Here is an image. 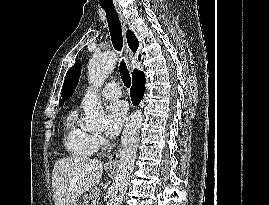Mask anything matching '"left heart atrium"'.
<instances>
[{
  "label": "left heart atrium",
  "instance_id": "39dd6f15",
  "mask_svg": "<svg viewBox=\"0 0 269 205\" xmlns=\"http://www.w3.org/2000/svg\"><path fill=\"white\" fill-rule=\"evenodd\" d=\"M128 106L124 101H114L107 108V120L105 126V133L107 136L116 137L127 118Z\"/></svg>",
  "mask_w": 269,
  "mask_h": 205
}]
</instances>
